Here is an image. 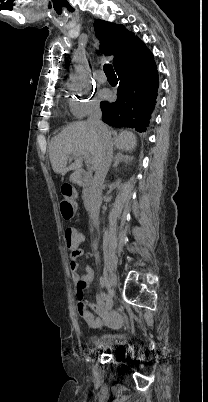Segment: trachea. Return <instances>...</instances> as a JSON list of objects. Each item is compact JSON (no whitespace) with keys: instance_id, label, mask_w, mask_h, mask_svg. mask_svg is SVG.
Returning a JSON list of instances; mask_svg holds the SVG:
<instances>
[{"instance_id":"3493384b","label":"trachea","mask_w":208,"mask_h":402,"mask_svg":"<svg viewBox=\"0 0 208 402\" xmlns=\"http://www.w3.org/2000/svg\"><path fill=\"white\" fill-rule=\"evenodd\" d=\"M104 72L106 74V77L108 78H117L112 65H110L109 63H106L104 65Z\"/></svg>"}]
</instances>
